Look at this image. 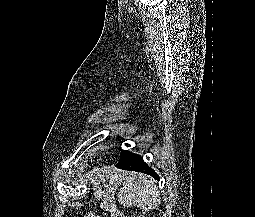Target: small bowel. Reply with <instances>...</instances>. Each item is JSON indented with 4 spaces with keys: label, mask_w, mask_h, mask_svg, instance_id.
<instances>
[{
    "label": "small bowel",
    "mask_w": 255,
    "mask_h": 217,
    "mask_svg": "<svg viewBox=\"0 0 255 217\" xmlns=\"http://www.w3.org/2000/svg\"><path fill=\"white\" fill-rule=\"evenodd\" d=\"M105 210H109L107 205H104ZM85 217H93L91 214H86ZM116 217H120V214L116 213Z\"/></svg>",
    "instance_id": "obj_1"
}]
</instances>
